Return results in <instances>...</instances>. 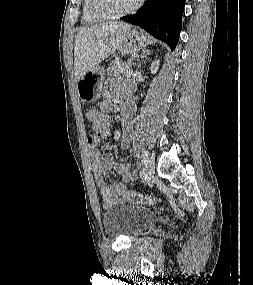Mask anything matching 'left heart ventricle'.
I'll list each match as a JSON object with an SVG mask.
<instances>
[{
  "label": "left heart ventricle",
  "instance_id": "obj_1",
  "mask_svg": "<svg viewBox=\"0 0 253 285\" xmlns=\"http://www.w3.org/2000/svg\"><path fill=\"white\" fill-rule=\"evenodd\" d=\"M104 7L110 12H121L130 8L136 0H103Z\"/></svg>",
  "mask_w": 253,
  "mask_h": 285
}]
</instances>
